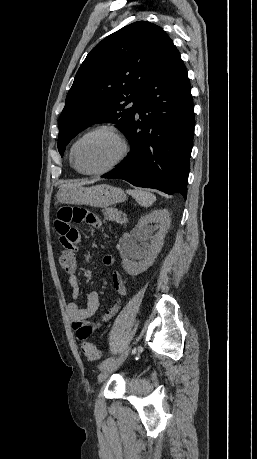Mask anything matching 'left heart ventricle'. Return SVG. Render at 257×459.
Returning a JSON list of instances; mask_svg holds the SVG:
<instances>
[{"instance_id":"left-heart-ventricle-1","label":"left heart ventricle","mask_w":257,"mask_h":459,"mask_svg":"<svg viewBox=\"0 0 257 459\" xmlns=\"http://www.w3.org/2000/svg\"><path fill=\"white\" fill-rule=\"evenodd\" d=\"M120 144L110 134L101 132L82 140L75 151L78 166L86 171L109 165L119 154Z\"/></svg>"}]
</instances>
